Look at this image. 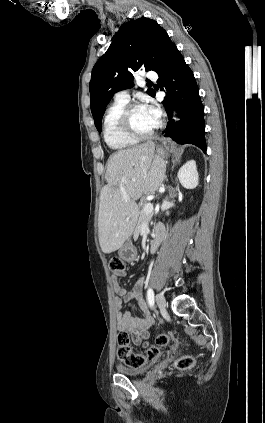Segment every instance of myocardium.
I'll return each mask as SVG.
<instances>
[{"label": "myocardium", "mask_w": 265, "mask_h": 423, "mask_svg": "<svg viewBox=\"0 0 265 423\" xmlns=\"http://www.w3.org/2000/svg\"><path fill=\"white\" fill-rule=\"evenodd\" d=\"M140 107H144L143 103L140 102H132V103H128L124 109L122 110L120 116H119V127L121 129V131L128 137L135 139L137 141L140 140H146L151 138L159 129L160 127V122L157 124V126L150 132L147 133H139L137 132L131 123V114L132 112Z\"/></svg>", "instance_id": "1"}]
</instances>
